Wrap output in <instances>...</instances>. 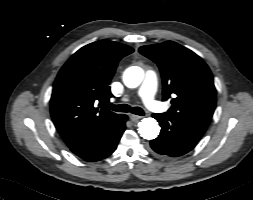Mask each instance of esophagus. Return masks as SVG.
I'll use <instances>...</instances> for the list:
<instances>
[{
  "instance_id": "esophagus-1",
  "label": "esophagus",
  "mask_w": 253,
  "mask_h": 200,
  "mask_svg": "<svg viewBox=\"0 0 253 200\" xmlns=\"http://www.w3.org/2000/svg\"><path fill=\"white\" fill-rule=\"evenodd\" d=\"M140 118H141V116H138V115H134V114L130 115V119L133 122H137Z\"/></svg>"
}]
</instances>
